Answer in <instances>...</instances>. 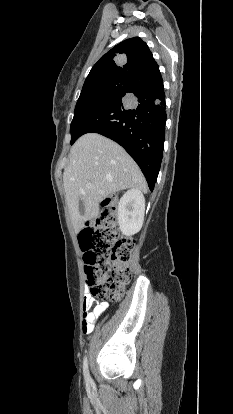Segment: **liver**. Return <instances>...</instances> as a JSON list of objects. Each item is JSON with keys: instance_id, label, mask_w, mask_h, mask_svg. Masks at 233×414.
I'll return each mask as SVG.
<instances>
[{"instance_id": "6515ba94", "label": "liver", "mask_w": 233, "mask_h": 414, "mask_svg": "<svg viewBox=\"0 0 233 414\" xmlns=\"http://www.w3.org/2000/svg\"><path fill=\"white\" fill-rule=\"evenodd\" d=\"M63 183L77 232L86 221L98 216L100 202L107 196L129 188L147 191L145 178L135 161L120 145L98 133H87L74 143ZM80 200L84 214L79 212Z\"/></svg>"}]
</instances>
